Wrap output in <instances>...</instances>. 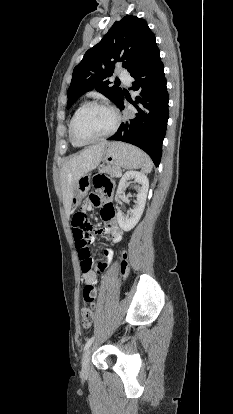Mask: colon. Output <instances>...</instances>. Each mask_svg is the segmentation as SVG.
<instances>
[{
  "instance_id": "5ec220e1",
  "label": "colon",
  "mask_w": 233,
  "mask_h": 414,
  "mask_svg": "<svg viewBox=\"0 0 233 414\" xmlns=\"http://www.w3.org/2000/svg\"><path fill=\"white\" fill-rule=\"evenodd\" d=\"M94 187L104 194H110L113 191V182L104 175H98L93 179ZM108 207L104 206L102 211L107 212ZM72 224L75 229V242L78 249L80 265L82 271H89L93 267V259L89 250L91 242V226L87 220V216L83 211H78L73 215ZM128 262L126 255L123 256L121 262V278L125 279L128 274ZM96 290L92 285H85L83 288L84 307L82 308V325L89 328L94 320V300Z\"/></svg>"
}]
</instances>
